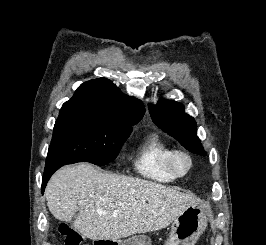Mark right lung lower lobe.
<instances>
[{"label": "right lung lower lobe", "mask_w": 266, "mask_h": 245, "mask_svg": "<svg viewBox=\"0 0 266 245\" xmlns=\"http://www.w3.org/2000/svg\"><path fill=\"white\" fill-rule=\"evenodd\" d=\"M60 167L61 166H55V167L48 168V169H45L44 170V175H43V178H42V187H41L42 194L44 193V189L46 187V184H47L48 180L50 179V177L52 176V174L57 169H59Z\"/></svg>", "instance_id": "98d812e1"}]
</instances>
